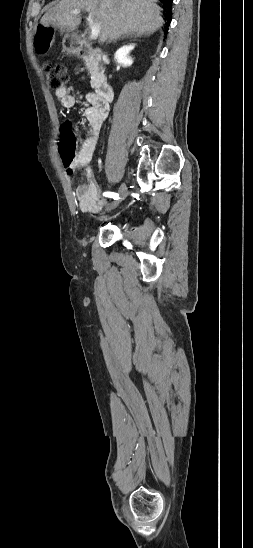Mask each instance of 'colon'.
Instances as JSON below:
<instances>
[{
	"mask_svg": "<svg viewBox=\"0 0 253 548\" xmlns=\"http://www.w3.org/2000/svg\"><path fill=\"white\" fill-rule=\"evenodd\" d=\"M52 40V32L48 29H42L37 35V43L39 47L46 48ZM44 75L47 85L50 89L58 90L67 82L68 75L65 66L47 62L43 66ZM76 136L69 130H65L59 142V153L64 163L69 164L75 158L76 151Z\"/></svg>",
	"mask_w": 253,
	"mask_h": 548,
	"instance_id": "5ec220e1",
	"label": "colon"
}]
</instances>
